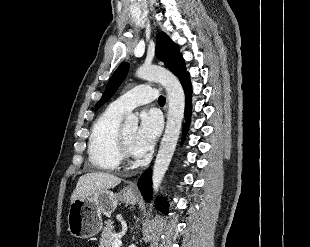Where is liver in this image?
<instances>
[{
  "mask_svg": "<svg viewBox=\"0 0 310 247\" xmlns=\"http://www.w3.org/2000/svg\"><path fill=\"white\" fill-rule=\"evenodd\" d=\"M121 178L106 172H90L82 175L71 195V202L92 196L99 190L114 188L120 184Z\"/></svg>",
  "mask_w": 310,
  "mask_h": 247,
  "instance_id": "1",
  "label": "liver"
}]
</instances>
